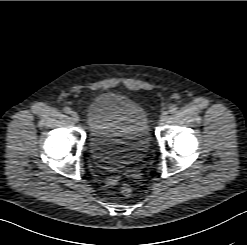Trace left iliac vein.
<instances>
[{
	"instance_id": "4c4485c4",
	"label": "left iliac vein",
	"mask_w": 247,
	"mask_h": 245,
	"mask_svg": "<svg viewBox=\"0 0 247 245\" xmlns=\"http://www.w3.org/2000/svg\"><path fill=\"white\" fill-rule=\"evenodd\" d=\"M168 117V111H163L160 115V123L163 124Z\"/></svg>"
}]
</instances>
